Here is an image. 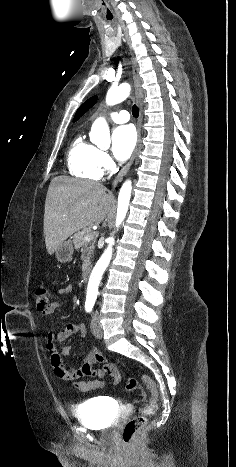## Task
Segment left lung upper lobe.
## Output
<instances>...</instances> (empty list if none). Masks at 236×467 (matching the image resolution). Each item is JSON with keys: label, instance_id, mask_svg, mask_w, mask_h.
Returning a JSON list of instances; mask_svg holds the SVG:
<instances>
[{"label": "left lung upper lobe", "instance_id": "1", "mask_svg": "<svg viewBox=\"0 0 236 467\" xmlns=\"http://www.w3.org/2000/svg\"><path fill=\"white\" fill-rule=\"evenodd\" d=\"M97 97L93 96L83 103L77 110L73 121H77L88 109H90L96 103Z\"/></svg>", "mask_w": 236, "mask_h": 467}]
</instances>
